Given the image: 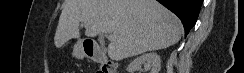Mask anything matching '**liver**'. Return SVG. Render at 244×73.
I'll use <instances>...</instances> for the list:
<instances>
[{"instance_id":"6515ba94","label":"liver","mask_w":244,"mask_h":73,"mask_svg":"<svg viewBox=\"0 0 244 73\" xmlns=\"http://www.w3.org/2000/svg\"><path fill=\"white\" fill-rule=\"evenodd\" d=\"M109 33L112 60L136 56L176 44L183 31L178 17L156 0H67L57 25L54 44L61 48L72 38Z\"/></svg>"}]
</instances>
